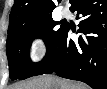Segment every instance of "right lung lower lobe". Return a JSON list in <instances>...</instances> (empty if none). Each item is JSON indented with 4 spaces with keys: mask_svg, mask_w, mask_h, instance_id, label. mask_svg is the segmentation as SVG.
I'll return each instance as SVG.
<instances>
[{
    "mask_svg": "<svg viewBox=\"0 0 107 89\" xmlns=\"http://www.w3.org/2000/svg\"><path fill=\"white\" fill-rule=\"evenodd\" d=\"M70 10L81 17L78 42L69 39L66 26L56 48L34 75L56 73L79 80L93 89L107 87V0H75Z\"/></svg>",
    "mask_w": 107,
    "mask_h": 89,
    "instance_id": "98d812e1",
    "label": "right lung lower lobe"
}]
</instances>
